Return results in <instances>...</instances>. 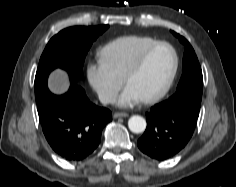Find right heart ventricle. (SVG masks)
I'll return each mask as SVG.
<instances>
[{
    "label": "right heart ventricle",
    "instance_id": "obj_1",
    "mask_svg": "<svg viewBox=\"0 0 236 187\" xmlns=\"http://www.w3.org/2000/svg\"><path fill=\"white\" fill-rule=\"evenodd\" d=\"M155 42V38L142 35L118 37L105 44L98 51L97 58L102 66L123 80L138 55Z\"/></svg>",
    "mask_w": 236,
    "mask_h": 187
}]
</instances>
